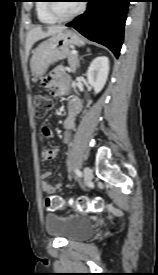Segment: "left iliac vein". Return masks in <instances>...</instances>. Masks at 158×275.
I'll return each instance as SVG.
<instances>
[{"label":"left iliac vein","mask_w":158,"mask_h":275,"mask_svg":"<svg viewBox=\"0 0 158 275\" xmlns=\"http://www.w3.org/2000/svg\"><path fill=\"white\" fill-rule=\"evenodd\" d=\"M84 178L86 183H90L93 178V172L90 167H85L84 168Z\"/></svg>","instance_id":"obj_1"}]
</instances>
